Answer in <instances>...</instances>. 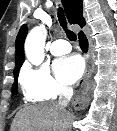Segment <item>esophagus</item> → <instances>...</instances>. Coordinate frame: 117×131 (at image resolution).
<instances>
[{"label":"esophagus","instance_id":"esophagus-1","mask_svg":"<svg viewBox=\"0 0 117 131\" xmlns=\"http://www.w3.org/2000/svg\"><path fill=\"white\" fill-rule=\"evenodd\" d=\"M88 63L90 68L91 65L90 55H88ZM88 82H89V75L86 76L82 89L77 92V94L72 100V105L76 110H80L84 108L89 102V90L87 87Z\"/></svg>","mask_w":117,"mask_h":131}]
</instances>
